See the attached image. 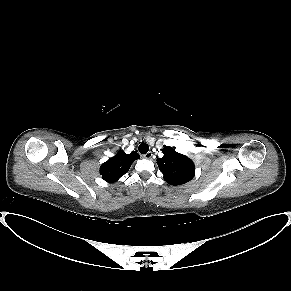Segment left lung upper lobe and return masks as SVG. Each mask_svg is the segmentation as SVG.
Listing matches in <instances>:
<instances>
[{"instance_id":"5c2ea615","label":"left lung upper lobe","mask_w":291,"mask_h":291,"mask_svg":"<svg viewBox=\"0 0 291 291\" xmlns=\"http://www.w3.org/2000/svg\"><path fill=\"white\" fill-rule=\"evenodd\" d=\"M162 152L164 156L157 159V164L167 183L182 185L194 177L195 165L191 159L170 146H165Z\"/></svg>"}]
</instances>
